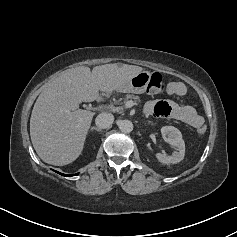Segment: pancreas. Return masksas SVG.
I'll return each mask as SVG.
<instances>
[{"label":"pancreas","mask_w":237,"mask_h":237,"mask_svg":"<svg viewBox=\"0 0 237 237\" xmlns=\"http://www.w3.org/2000/svg\"><path fill=\"white\" fill-rule=\"evenodd\" d=\"M122 99H120L118 102H120ZM130 100H134V101H139L140 98L138 96H135V95H127L125 97V99L123 100V102L121 103H126L127 101H130Z\"/></svg>","instance_id":"pancreas-1"}]
</instances>
